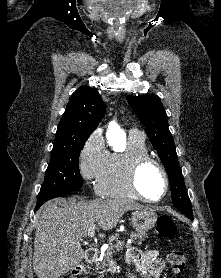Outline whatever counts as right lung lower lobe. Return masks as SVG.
Wrapping results in <instances>:
<instances>
[{"label": "right lung lower lobe", "mask_w": 221, "mask_h": 278, "mask_svg": "<svg viewBox=\"0 0 221 278\" xmlns=\"http://www.w3.org/2000/svg\"><path fill=\"white\" fill-rule=\"evenodd\" d=\"M70 192H66V193H62V194H60L59 196H65V195H67V194H69ZM58 196V197H59ZM42 204H37L36 205V208H35V211L41 206Z\"/></svg>", "instance_id": "1"}]
</instances>
